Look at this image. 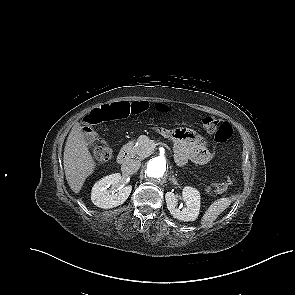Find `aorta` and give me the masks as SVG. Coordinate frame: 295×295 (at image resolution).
<instances>
[{"label": "aorta", "mask_w": 295, "mask_h": 295, "mask_svg": "<svg viewBox=\"0 0 295 295\" xmlns=\"http://www.w3.org/2000/svg\"><path fill=\"white\" fill-rule=\"evenodd\" d=\"M166 161L161 157H155L148 161L146 175L152 180H159L167 173Z\"/></svg>", "instance_id": "762f6f07"}]
</instances>
